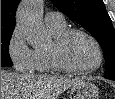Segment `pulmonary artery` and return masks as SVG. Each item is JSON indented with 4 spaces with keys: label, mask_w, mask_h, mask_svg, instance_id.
I'll return each mask as SVG.
<instances>
[{
    "label": "pulmonary artery",
    "mask_w": 115,
    "mask_h": 99,
    "mask_svg": "<svg viewBox=\"0 0 115 99\" xmlns=\"http://www.w3.org/2000/svg\"><path fill=\"white\" fill-rule=\"evenodd\" d=\"M45 22L46 24H62L65 20L60 12H48L45 15Z\"/></svg>",
    "instance_id": "pulmonary-artery-1"
}]
</instances>
